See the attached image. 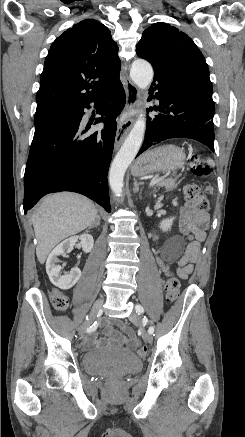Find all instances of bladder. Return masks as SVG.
I'll return each mask as SVG.
<instances>
[{
	"mask_svg": "<svg viewBox=\"0 0 245 437\" xmlns=\"http://www.w3.org/2000/svg\"><path fill=\"white\" fill-rule=\"evenodd\" d=\"M83 367L91 375H128L138 372L141 360L124 349H97L86 352L82 357Z\"/></svg>",
	"mask_w": 245,
	"mask_h": 437,
	"instance_id": "bladder-1",
	"label": "bladder"
}]
</instances>
